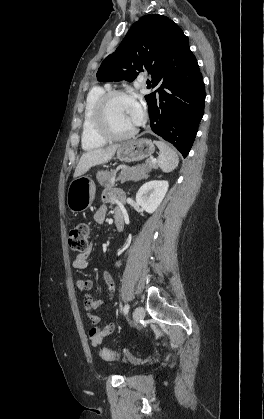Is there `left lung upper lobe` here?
<instances>
[{
    "mask_svg": "<svg viewBox=\"0 0 264 419\" xmlns=\"http://www.w3.org/2000/svg\"><path fill=\"white\" fill-rule=\"evenodd\" d=\"M183 34L171 19L154 14L135 22L119 47L106 57L98 72V81L132 82L140 72L152 74V82L165 66L169 43Z\"/></svg>",
    "mask_w": 264,
    "mask_h": 419,
    "instance_id": "obj_1",
    "label": "left lung upper lobe"
}]
</instances>
